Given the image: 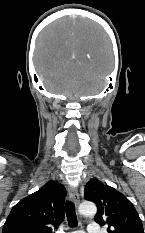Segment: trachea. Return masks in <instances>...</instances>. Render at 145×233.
Masks as SVG:
<instances>
[{
    "mask_svg": "<svg viewBox=\"0 0 145 233\" xmlns=\"http://www.w3.org/2000/svg\"><path fill=\"white\" fill-rule=\"evenodd\" d=\"M66 217L69 227H75L78 225L75 205L71 201L66 202Z\"/></svg>",
    "mask_w": 145,
    "mask_h": 233,
    "instance_id": "obj_1",
    "label": "trachea"
}]
</instances>
